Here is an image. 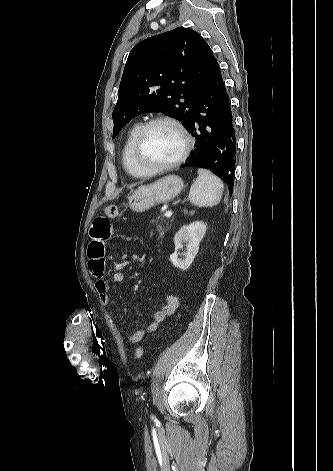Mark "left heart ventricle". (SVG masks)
Returning a JSON list of instances; mask_svg holds the SVG:
<instances>
[{
    "instance_id": "left-heart-ventricle-1",
    "label": "left heart ventricle",
    "mask_w": 333,
    "mask_h": 471,
    "mask_svg": "<svg viewBox=\"0 0 333 471\" xmlns=\"http://www.w3.org/2000/svg\"><path fill=\"white\" fill-rule=\"evenodd\" d=\"M181 148L178 132L168 124L159 123L151 127L147 134L143 159L149 164H166L179 156Z\"/></svg>"
}]
</instances>
